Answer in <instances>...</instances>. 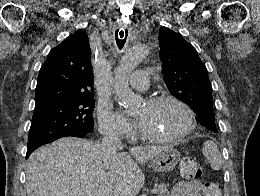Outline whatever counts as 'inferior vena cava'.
Returning <instances> with one entry per match:
<instances>
[{
  "label": "inferior vena cava",
  "instance_id": "inferior-vena-cava-1",
  "mask_svg": "<svg viewBox=\"0 0 260 196\" xmlns=\"http://www.w3.org/2000/svg\"><path fill=\"white\" fill-rule=\"evenodd\" d=\"M102 146H105L110 154H117L118 150L123 148L122 142L117 134H108V136H105L102 140Z\"/></svg>",
  "mask_w": 260,
  "mask_h": 196
}]
</instances>
